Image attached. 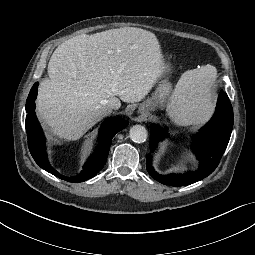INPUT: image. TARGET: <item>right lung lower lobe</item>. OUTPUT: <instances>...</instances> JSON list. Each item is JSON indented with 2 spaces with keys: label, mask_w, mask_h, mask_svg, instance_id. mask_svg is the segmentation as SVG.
<instances>
[{
  "label": "right lung lower lobe",
  "mask_w": 255,
  "mask_h": 255,
  "mask_svg": "<svg viewBox=\"0 0 255 255\" xmlns=\"http://www.w3.org/2000/svg\"><path fill=\"white\" fill-rule=\"evenodd\" d=\"M37 87L38 83H35L30 90L26 103L27 116L25 126L32 157L41 168L68 182L79 183L94 177L106 164L112 138L117 132L125 128L127 123L120 118L106 119L100 128L99 145L95 153L91 155L78 175L66 177L54 170L47 159L45 137L34 112Z\"/></svg>",
  "instance_id": "obj_1"
}]
</instances>
